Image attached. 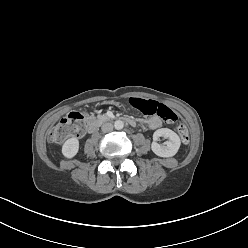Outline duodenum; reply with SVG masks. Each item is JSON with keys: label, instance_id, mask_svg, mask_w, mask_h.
Masks as SVG:
<instances>
[{"label": "duodenum", "instance_id": "1", "mask_svg": "<svg viewBox=\"0 0 248 248\" xmlns=\"http://www.w3.org/2000/svg\"><path fill=\"white\" fill-rule=\"evenodd\" d=\"M106 119H102V120H91L88 122L87 124V131L88 132H94L98 125L100 124V122L104 121ZM124 121H126L128 124L135 126L136 125V121L134 119L131 118H124Z\"/></svg>", "mask_w": 248, "mask_h": 248}]
</instances>
